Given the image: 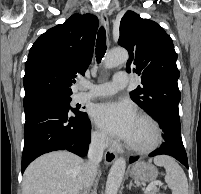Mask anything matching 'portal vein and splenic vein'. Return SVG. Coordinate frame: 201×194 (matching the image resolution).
<instances>
[{
  "instance_id": "portal-vein-and-splenic-vein-1",
  "label": "portal vein and splenic vein",
  "mask_w": 201,
  "mask_h": 194,
  "mask_svg": "<svg viewBox=\"0 0 201 194\" xmlns=\"http://www.w3.org/2000/svg\"><path fill=\"white\" fill-rule=\"evenodd\" d=\"M162 185L163 184L161 183V181H155V182L149 184L146 189H144V193L147 191H150L151 189L155 188L156 186H162Z\"/></svg>"
}]
</instances>
